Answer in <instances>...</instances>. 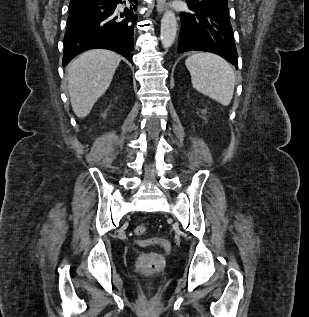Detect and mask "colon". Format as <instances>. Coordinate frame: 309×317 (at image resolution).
I'll return each mask as SVG.
<instances>
[{
	"label": "colon",
	"instance_id": "obj_1",
	"mask_svg": "<svg viewBox=\"0 0 309 317\" xmlns=\"http://www.w3.org/2000/svg\"><path fill=\"white\" fill-rule=\"evenodd\" d=\"M146 232V227L144 225H138L134 228V234L136 236H142ZM141 247H148L153 245H158L165 250H169L171 248V243L166 238H149V239H140L136 242Z\"/></svg>",
	"mask_w": 309,
	"mask_h": 317
}]
</instances>
